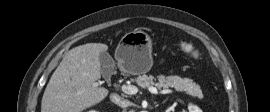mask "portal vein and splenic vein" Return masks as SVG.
Masks as SVG:
<instances>
[{
	"label": "portal vein and splenic vein",
	"instance_id": "obj_1",
	"mask_svg": "<svg viewBox=\"0 0 270 112\" xmlns=\"http://www.w3.org/2000/svg\"><path fill=\"white\" fill-rule=\"evenodd\" d=\"M122 91L126 94L134 95L138 93L139 90L134 85H122ZM148 91L155 95L172 93L171 89H164V90L158 91L155 87H149Z\"/></svg>",
	"mask_w": 270,
	"mask_h": 112
}]
</instances>
